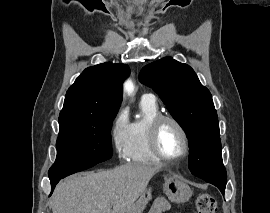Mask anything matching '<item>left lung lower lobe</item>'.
I'll return each instance as SVG.
<instances>
[{"instance_id": "1", "label": "left lung lower lobe", "mask_w": 270, "mask_h": 213, "mask_svg": "<svg viewBox=\"0 0 270 213\" xmlns=\"http://www.w3.org/2000/svg\"><path fill=\"white\" fill-rule=\"evenodd\" d=\"M196 167H197V166H196L194 163L189 162V169H190L191 173H192L194 176L199 177V175H198V170H197ZM199 178H200V177H199ZM218 188L220 189L221 193L224 195V193H225V188H224V187H218Z\"/></svg>"}]
</instances>
